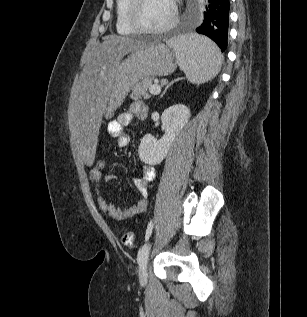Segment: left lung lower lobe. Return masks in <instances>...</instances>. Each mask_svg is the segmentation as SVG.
I'll return each instance as SVG.
<instances>
[{
    "mask_svg": "<svg viewBox=\"0 0 307 317\" xmlns=\"http://www.w3.org/2000/svg\"><path fill=\"white\" fill-rule=\"evenodd\" d=\"M205 11L196 32L211 38L222 52L227 47V34L229 25V0H205Z\"/></svg>",
    "mask_w": 307,
    "mask_h": 317,
    "instance_id": "0a47b994",
    "label": "left lung lower lobe"
}]
</instances>
